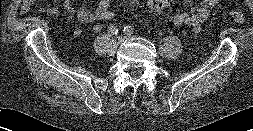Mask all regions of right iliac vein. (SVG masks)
I'll return each mask as SVG.
<instances>
[{
	"label": "right iliac vein",
	"instance_id": "obj_1",
	"mask_svg": "<svg viewBox=\"0 0 253 131\" xmlns=\"http://www.w3.org/2000/svg\"><path fill=\"white\" fill-rule=\"evenodd\" d=\"M123 41H124V38H123V37H119V38H118V43H119V44L123 43Z\"/></svg>",
	"mask_w": 253,
	"mask_h": 131
}]
</instances>
